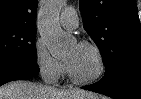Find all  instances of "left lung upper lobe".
Here are the masks:
<instances>
[{"instance_id":"1","label":"left lung upper lobe","mask_w":141,"mask_h":99,"mask_svg":"<svg viewBox=\"0 0 141 99\" xmlns=\"http://www.w3.org/2000/svg\"><path fill=\"white\" fill-rule=\"evenodd\" d=\"M83 26L98 46L105 73L141 62V26L135 0H79Z\"/></svg>"}]
</instances>
